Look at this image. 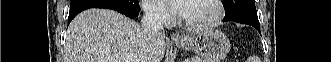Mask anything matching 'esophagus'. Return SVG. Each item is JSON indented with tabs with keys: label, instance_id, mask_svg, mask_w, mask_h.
I'll return each instance as SVG.
<instances>
[{
	"label": "esophagus",
	"instance_id": "34e87169",
	"mask_svg": "<svg viewBox=\"0 0 331 62\" xmlns=\"http://www.w3.org/2000/svg\"><path fill=\"white\" fill-rule=\"evenodd\" d=\"M172 41L174 42H180L183 41V37L177 33H173L171 36Z\"/></svg>",
	"mask_w": 331,
	"mask_h": 62
}]
</instances>
